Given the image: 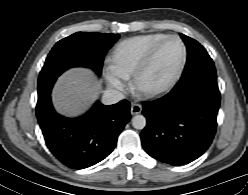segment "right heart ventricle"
Returning a JSON list of instances; mask_svg holds the SVG:
<instances>
[{
	"label": "right heart ventricle",
	"instance_id": "1",
	"mask_svg": "<svg viewBox=\"0 0 248 195\" xmlns=\"http://www.w3.org/2000/svg\"><path fill=\"white\" fill-rule=\"evenodd\" d=\"M167 36L164 33H152L121 42L116 49L111 68L125 78L134 76L155 46Z\"/></svg>",
	"mask_w": 248,
	"mask_h": 195
}]
</instances>
